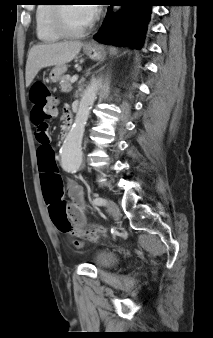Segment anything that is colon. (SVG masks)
Segmentation results:
<instances>
[{
    "mask_svg": "<svg viewBox=\"0 0 213 338\" xmlns=\"http://www.w3.org/2000/svg\"><path fill=\"white\" fill-rule=\"evenodd\" d=\"M29 99L32 105L31 121L36 127L35 137L42 144L41 154L47 158L53 154V151L45 145L52 140L53 135L46 121L55 115L57 103L52 98L49 87L45 82H36L31 86ZM66 210V205L62 202H56L51 207V217L58 226L66 221ZM80 244L81 241H78L77 245Z\"/></svg>",
    "mask_w": 213,
    "mask_h": 338,
    "instance_id": "obj_1",
    "label": "colon"
}]
</instances>
